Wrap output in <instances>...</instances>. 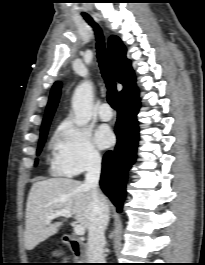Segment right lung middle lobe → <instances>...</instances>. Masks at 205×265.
<instances>
[{"mask_svg":"<svg viewBox=\"0 0 205 265\" xmlns=\"http://www.w3.org/2000/svg\"><path fill=\"white\" fill-rule=\"evenodd\" d=\"M48 128L49 126L43 128L41 130V134H40V141H39V145H38V150H37V154L40 153L43 145H44V142H45V139H46V135H47V132H48ZM37 163V162H36Z\"/></svg>","mask_w":205,"mask_h":265,"instance_id":"obj_1","label":"right lung middle lobe"}]
</instances>
